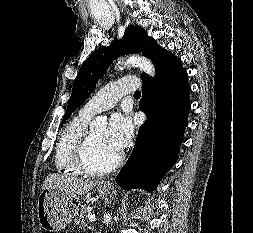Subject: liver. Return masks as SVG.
<instances>
[{
  "label": "liver",
  "instance_id": "6515ba94",
  "mask_svg": "<svg viewBox=\"0 0 253 233\" xmlns=\"http://www.w3.org/2000/svg\"><path fill=\"white\" fill-rule=\"evenodd\" d=\"M95 186L96 182L52 173L45 178L42 190L47 188H56L64 190L72 195H82L88 193Z\"/></svg>",
  "mask_w": 253,
  "mask_h": 233
}]
</instances>
